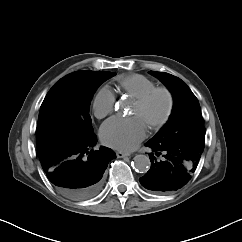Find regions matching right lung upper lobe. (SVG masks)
<instances>
[{
    "label": "right lung upper lobe",
    "mask_w": 242,
    "mask_h": 242,
    "mask_svg": "<svg viewBox=\"0 0 242 242\" xmlns=\"http://www.w3.org/2000/svg\"><path fill=\"white\" fill-rule=\"evenodd\" d=\"M91 71H88V70H84V71H78V72H74V73H71L67 76H70V77H83V76H86L87 74H89Z\"/></svg>",
    "instance_id": "right-lung-upper-lobe-1"
}]
</instances>
